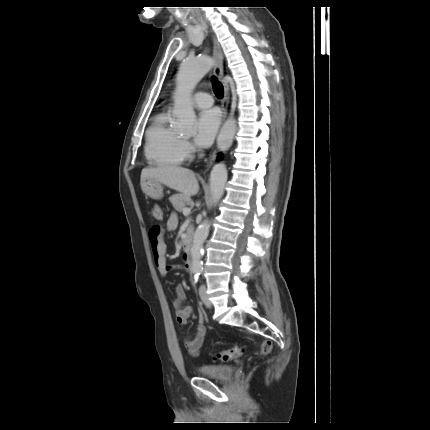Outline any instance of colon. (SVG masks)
Instances as JSON below:
<instances>
[{
	"instance_id": "colon-1",
	"label": "colon",
	"mask_w": 430,
	"mask_h": 430,
	"mask_svg": "<svg viewBox=\"0 0 430 430\" xmlns=\"http://www.w3.org/2000/svg\"><path fill=\"white\" fill-rule=\"evenodd\" d=\"M151 214L156 220L158 221L162 220L163 213L161 208L158 205H154L151 208ZM270 349H271V342L269 340H264L260 343L259 354L265 355L269 353ZM242 353H243V349L241 347L235 346V347L223 349L222 351L216 353L213 356V358L219 361H230L232 359H235L241 356Z\"/></svg>"
}]
</instances>
